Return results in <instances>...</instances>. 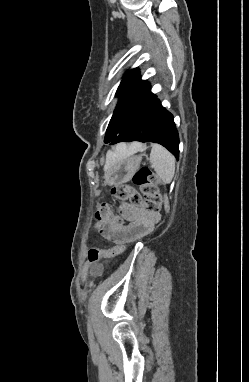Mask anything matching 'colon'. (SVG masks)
Wrapping results in <instances>:
<instances>
[{
	"label": "colon",
	"mask_w": 249,
	"mask_h": 382,
	"mask_svg": "<svg viewBox=\"0 0 249 382\" xmlns=\"http://www.w3.org/2000/svg\"><path fill=\"white\" fill-rule=\"evenodd\" d=\"M133 182L141 190L140 194L134 186L118 185L112 188V195L121 202H128L133 206L142 207L148 212L159 213L163 208V197L157 186L156 176L148 167H141L133 176ZM96 216L112 218V211L108 204L99 203ZM125 250V243L120 242L111 248L91 247L88 250V261L97 262L101 258H111L120 255Z\"/></svg>",
	"instance_id": "obj_1"
}]
</instances>
